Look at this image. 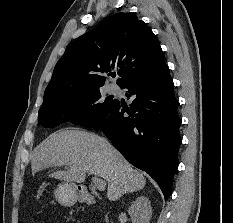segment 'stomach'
Listing matches in <instances>:
<instances>
[{
    "instance_id": "stomach-1",
    "label": "stomach",
    "mask_w": 233,
    "mask_h": 223,
    "mask_svg": "<svg viewBox=\"0 0 233 223\" xmlns=\"http://www.w3.org/2000/svg\"><path fill=\"white\" fill-rule=\"evenodd\" d=\"M83 197L85 193H80L78 185L76 183H70V181H61L54 189V197L61 205L66 207H72L77 203L79 197Z\"/></svg>"
}]
</instances>
